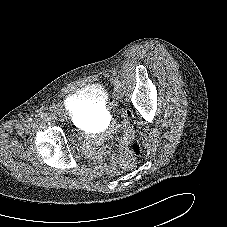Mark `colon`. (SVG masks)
<instances>
[{"mask_svg": "<svg viewBox=\"0 0 227 227\" xmlns=\"http://www.w3.org/2000/svg\"><path fill=\"white\" fill-rule=\"evenodd\" d=\"M126 140L128 143V155L122 161L121 167L123 170H130L136 165V159L141 153V147L131 136H128Z\"/></svg>", "mask_w": 227, "mask_h": 227, "instance_id": "5ec220e1", "label": "colon"}]
</instances>
